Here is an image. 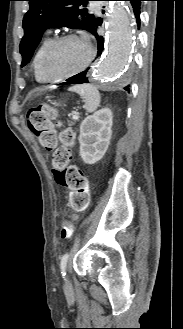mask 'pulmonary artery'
I'll list each match as a JSON object with an SVG mask.
<instances>
[{
  "instance_id": "e3ab8cb5",
  "label": "pulmonary artery",
  "mask_w": 183,
  "mask_h": 329,
  "mask_svg": "<svg viewBox=\"0 0 183 329\" xmlns=\"http://www.w3.org/2000/svg\"><path fill=\"white\" fill-rule=\"evenodd\" d=\"M90 7L96 12H100V5L98 2H91Z\"/></svg>"
}]
</instances>
